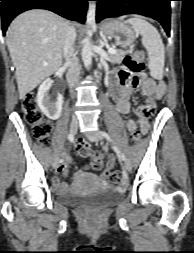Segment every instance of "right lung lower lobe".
I'll use <instances>...</instances> for the list:
<instances>
[{
  "label": "right lung lower lobe",
  "instance_id": "obj_1",
  "mask_svg": "<svg viewBox=\"0 0 194 253\" xmlns=\"http://www.w3.org/2000/svg\"><path fill=\"white\" fill-rule=\"evenodd\" d=\"M2 30L6 33L10 22L20 13L30 9H47L70 20L85 22L88 0H0Z\"/></svg>",
  "mask_w": 194,
  "mask_h": 253
}]
</instances>
